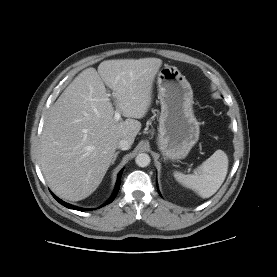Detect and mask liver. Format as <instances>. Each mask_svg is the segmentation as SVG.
<instances>
[{"instance_id": "liver-1", "label": "liver", "mask_w": 277, "mask_h": 277, "mask_svg": "<svg viewBox=\"0 0 277 277\" xmlns=\"http://www.w3.org/2000/svg\"><path fill=\"white\" fill-rule=\"evenodd\" d=\"M159 58L106 60L98 72L83 70L51 107L41 141V170L48 185L61 198L79 201L90 196L102 182L117 148L133 144L152 101ZM113 93L116 121L105 88Z\"/></svg>"}]
</instances>
